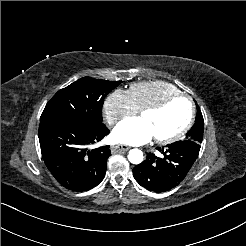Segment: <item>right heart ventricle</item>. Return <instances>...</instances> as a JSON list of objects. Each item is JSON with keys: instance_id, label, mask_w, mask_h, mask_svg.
Segmentation results:
<instances>
[{"instance_id": "right-heart-ventricle-1", "label": "right heart ventricle", "mask_w": 246, "mask_h": 246, "mask_svg": "<svg viewBox=\"0 0 246 246\" xmlns=\"http://www.w3.org/2000/svg\"><path fill=\"white\" fill-rule=\"evenodd\" d=\"M129 93L135 110L140 112L147 106L157 104L167 97L179 93V90L170 83L154 81L132 84Z\"/></svg>"}]
</instances>
